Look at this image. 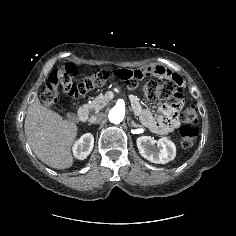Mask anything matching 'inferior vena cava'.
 Here are the masks:
<instances>
[{"instance_id": "obj_1", "label": "inferior vena cava", "mask_w": 236, "mask_h": 236, "mask_svg": "<svg viewBox=\"0 0 236 236\" xmlns=\"http://www.w3.org/2000/svg\"><path fill=\"white\" fill-rule=\"evenodd\" d=\"M103 118V114L99 113V114H96L92 117H90L89 119V123L90 124H95V123H99Z\"/></svg>"}]
</instances>
